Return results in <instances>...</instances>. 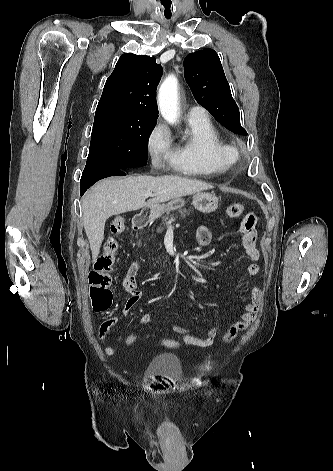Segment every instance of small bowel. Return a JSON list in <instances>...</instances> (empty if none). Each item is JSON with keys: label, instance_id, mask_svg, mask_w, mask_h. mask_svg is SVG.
Here are the masks:
<instances>
[{"label": "small bowel", "instance_id": "1", "mask_svg": "<svg viewBox=\"0 0 333 471\" xmlns=\"http://www.w3.org/2000/svg\"><path fill=\"white\" fill-rule=\"evenodd\" d=\"M239 232L242 234V244L244 250L248 258L252 261V263L247 267V275L251 277L256 276L260 271L259 265L257 264V261L260 258V253L256 246L255 217L253 214L249 213L243 217L240 223ZM196 241L200 246H206L210 243L211 232L206 226H200L197 228ZM138 270V262H132L122 280V286L124 290L130 295L122 308L123 316H126L134 308L142 296V293L139 290L136 282ZM262 303L263 291L257 286H251L250 299L244 307L241 318L230 325L227 332L222 336L221 340L223 342L232 341L241 331L247 329L256 319ZM152 320V316L147 313L140 317V323L143 325L150 324ZM117 321L118 318L113 316L100 324L98 328V338L102 343L107 341L108 333L110 329L117 323ZM172 331L181 335L180 341L183 344L199 348H207L211 346L218 334V330L215 327L210 328L203 338L191 335L189 333V329L182 325L172 326ZM117 352L118 348L115 346H108L105 348V353L108 356L115 355Z\"/></svg>", "mask_w": 333, "mask_h": 471}]
</instances>
